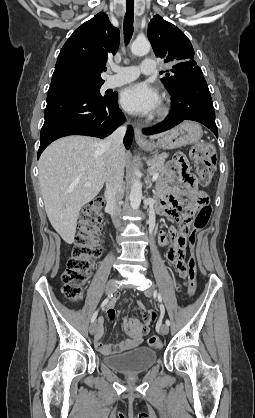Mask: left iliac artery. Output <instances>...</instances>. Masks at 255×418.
I'll use <instances>...</instances> for the list:
<instances>
[{"instance_id":"1","label":"left iliac artery","mask_w":255,"mask_h":418,"mask_svg":"<svg viewBox=\"0 0 255 418\" xmlns=\"http://www.w3.org/2000/svg\"><path fill=\"white\" fill-rule=\"evenodd\" d=\"M158 298H159V301L161 302V297H160V295H158ZM168 326L170 325V321L167 319L166 320V322H165Z\"/></svg>"}]
</instances>
